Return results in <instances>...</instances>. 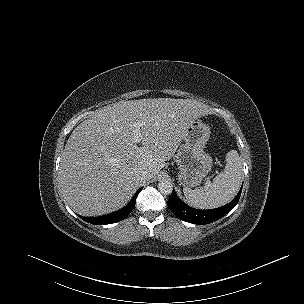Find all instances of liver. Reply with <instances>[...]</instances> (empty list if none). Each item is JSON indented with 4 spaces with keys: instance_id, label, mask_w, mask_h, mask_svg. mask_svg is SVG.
I'll use <instances>...</instances> for the list:
<instances>
[{
    "instance_id": "1",
    "label": "liver",
    "mask_w": 304,
    "mask_h": 304,
    "mask_svg": "<svg viewBox=\"0 0 304 304\" xmlns=\"http://www.w3.org/2000/svg\"><path fill=\"white\" fill-rule=\"evenodd\" d=\"M190 99L119 101L99 109L71 133L60 161L59 183L69 206L83 216H99L127 204L142 183L137 170L154 178L170 160L188 126L207 114ZM142 122L141 144L134 142Z\"/></svg>"
}]
</instances>
